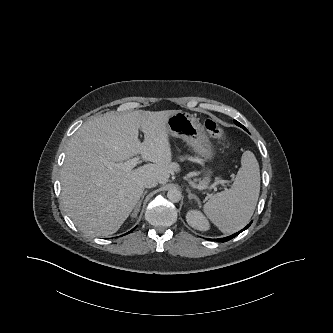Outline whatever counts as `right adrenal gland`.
<instances>
[{"instance_id": "2a0ac1e0", "label": "right adrenal gland", "mask_w": 333, "mask_h": 333, "mask_svg": "<svg viewBox=\"0 0 333 333\" xmlns=\"http://www.w3.org/2000/svg\"><path fill=\"white\" fill-rule=\"evenodd\" d=\"M146 194H147V191H144L143 194H142V196H141V199L138 201V203H137V205H136V207H135V209H134V211H133V213L131 215L132 217H136L137 216V214H138V212L140 210V207H141V203H142V201H143V199H144V197H145Z\"/></svg>"}]
</instances>
